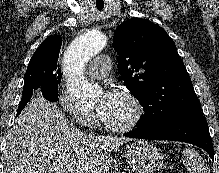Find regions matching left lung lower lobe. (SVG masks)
<instances>
[{"label": "left lung lower lobe", "instance_id": "left-lung-lower-lobe-1", "mask_svg": "<svg viewBox=\"0 0 219 173\" xmlns=\"http://www.w3.org/2000/svg\"><path fill=\"white\" fill-rule=\"evenodd\" d=\"M124 135L130 138L160 139L190 143L201 147L214 159L208 124L201 111L179 116L155 130L137 128Z\"/></svg>", "mask_w": 219, "mask_h": 173}]
</instances>
